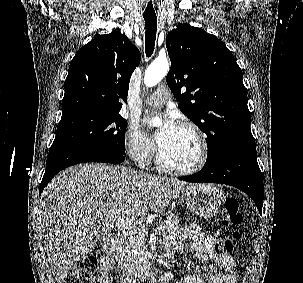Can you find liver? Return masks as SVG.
Segmentation results:
<instances>
[{
  "label": "liver",
  "instance_id": "obj_1",
  "mask_svg": "<svg viewBox=\"0 0 303 283\" xmlns=\"http://www.w3.org/2000/svg\"><path fill=\"white\" fill-rule=\"evenodd\" d=\"M193 184L152 176L124 166L80 164L60 172L41 196L40 221L57 283L108 234L96 225L114 215L133 223L163 212Z\"/></svg>",
  "mask_w": 303,
  "mask_h": 283
}]
</instances>
